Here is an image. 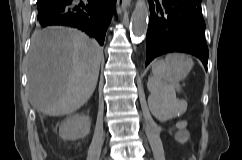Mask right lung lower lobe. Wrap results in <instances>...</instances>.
Wrapping results in <instances>:
<instances>
[{
	"instance_id": "98d812e1",
	"label": "right lung lower lobe",
	"mask_w": 242,
	"mask_h": 160,
	"mask_svg": "<svg viewBox=\"0 0 242 160\" xmlns=\"http://www.w3.org/2000/svg\"><path fill=\"white\" fill-rule=\"evenodd\" d=\"M115 3L116 0H39L38 22L43 27L77 28L103 45Z\"/></svg>"
}]
</instances>
